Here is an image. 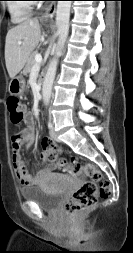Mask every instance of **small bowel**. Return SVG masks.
Returning <instances> with one entry per match:
<instances>
[{
    "label": "small bowel",
    "instance_id": "small-bowel-1",
    "mask_svg": "<svg viewBox=\"0 0 133 253\" xmlns=\"http://www.w3.org/2000/svg\"><path fill=\"white\" fill-rule=\"evenodd\" d=\"M25 123V127L12 136V158L18 181L24 186H30L37 184L46 172L53 169V166L48 165L46 167H43L33 175L28 172L26 164L21 155V148L25 147L26 149H29L34 143L36 134L33 118L30 114L27 115ZM41 159L44 162H47L45 150L41 154Z\"/></svg>",
    "mask_w": 133,
    "mask_h": 253
}]
</instances>
